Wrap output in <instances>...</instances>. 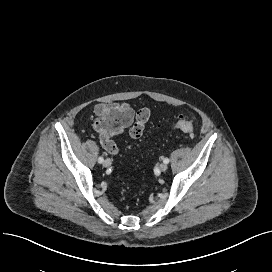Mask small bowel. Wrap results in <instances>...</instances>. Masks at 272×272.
I'll list each match as a JSON object with an SVG mask.
<instances>
[{
    "instance_id": "small-bowel-1",
    "label": "small bowel",
    "mask_w": 272,
    "mask_h": 272,
    "mask_svg": "<svg viewBox=\"0 0 272 272\" xmlns=\"http://www.w3.org/2000/svg\"><path fill=\"white\" fill-rule=\"evenodd\" d=\"M106 106L107 105H105V104H99V105L96 106V111L98 113H100V111H102ZM116 106L119 107L120 109H122L123 111H126V112H128L130 114L131 119H130L129 124L132 123V121L134 119V112H133L132 108L127 103L117 104ZM140 113H146L148 115V117H149V111H148V109H142V110L138 111L137 114H136V116L138 114H140ZM147 120H148V118H147ZM101 144H102V147L104 148V150L106 152H108L109 154H111V155H117L119 153L118 146L108 136L105 137V138H103V139H101Z\"/></svg>"
}]
</instances>
